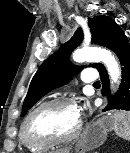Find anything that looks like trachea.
<instances>
[{
    "label": "trachea",
    "mask_w": 130,
    "mask_h": 153,
    "mask_svg": "<svg viewBox=\"0 0 130 153\" xmlns=\"http://www.w3.org/2000/svg\"><path fill=\"white\" fill-rule=\"evenodd\" d=\"M93 85H100V81L95 82Z\"/></svg>",
    "instance_id": "obj_1"
}]
</instances>
